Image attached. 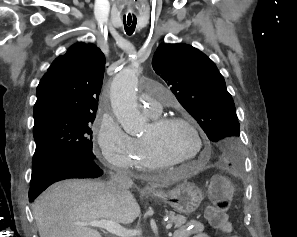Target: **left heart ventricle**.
Segmentation results:
<instances>
[{
    "instance_id": "1",
    "label": "left heart ventricle",
    "mask_w": 297,
    "mask_h": 237,
    "mask_svg": "<svg viewBox=\"0 0 297 237\" xmlns=\"http://www.w3.org/2000/svg\"><path fill=\"white\" fill-rule=\"evenodd\" d=\"M151 122L141 138H149L155 142L170 159H188L197 153V140L186 125L168 124L162 128L154 129Z\"/></svg>"
}]
</instances>
